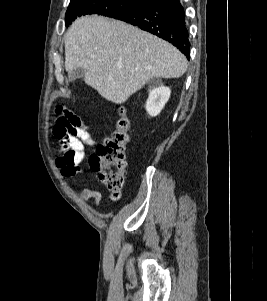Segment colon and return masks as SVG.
I'll return each mask as SVG.
<instances>
[{
	"label": "colon",
	"mask_w": 267,
	"mask_h": 301,
	"mask_svg": "<svg viewBox=\"0 0 267 301\" xmlns=\"http://www.w3.org/2000/svg\"><path fill=\"white\" fill-rule=\"evenodd\" d=\"M130 120L125 109L119 111L114 131L89 157V166L99 176L110 196L120 198L126 175V145L129 141Z\"/></svg>",
	"instance_id": "colon-1"
}]
</instances>
